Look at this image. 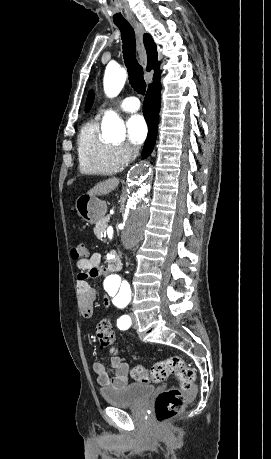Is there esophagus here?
I'll return each mask as SVG.
<instances>
[{"label": "esophagus", "instance_id": "34e87169", "mask_svg": "<svg viewBox=\"0 0 271 459\" xmlns=\"http://www.w3.org/2000/svg\"><path fill=\"white\" fill-rule=\"evenodd\" d=\"M131 25L135 30L137 39V49L134 51V56L136 60L140 62V67L142 69H147L149 67V62L146 60V52L143 44V25L140 22H132Z\"/></svg>", "mask_w": 271, "mask_h": 459}]
</instances>
